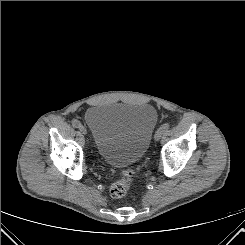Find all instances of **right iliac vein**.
Listing matches in <instances>:
<instances>
[{"mask_svg":"<svg viewBox=\"0 0 245 245\" xmlns=\"http://www.w3.org/2000/svg\"><path fill=\"white\" fill-rule=\"evenodd\" d=\"M79 130H80V132L83 133L84 135L87 134V130H86V128H85L84 126L81 125V126L79 127Z\"/></svg>","mask_w":245,"mask_h":245,"instance_id":"right-iliac-vein-1","label":"right iliac vein"}]
</instances>
